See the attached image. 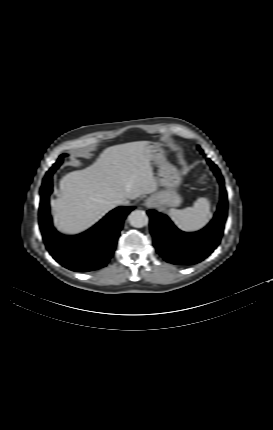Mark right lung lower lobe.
Wrapping results in <instances>:
<instances>
[{
	"mask_svg": "<svg viewBox=\"0 0 273 430\" xmlns=\"http://www.w3.org/2000/svg\"><path fill=\"white\" fill-rule=\"evenodd\" d=\"M53 172H47L40 190L39 225L47 250L57 262L72 271L88 272L105 267L116 248L124 219L134 207L112 210L80 235H61L52 226L50 217L49 195L52 192Z\"/></svg>",
	"mask_w": 273,
	"mask_h": 430,
	"instance_id": "1",
	"label": "right lung lower lobe"
}]
</instances>
